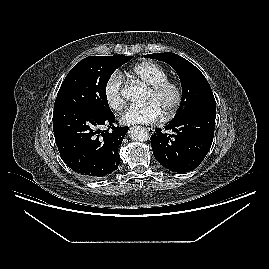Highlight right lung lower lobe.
<instances>
[{
    "mask_svg": "<svg viewBox=\"0 0 269 269\" xmlns=\"http://www.w3.org/2000/svg\"><path fill=\"white\" fill-rule=\"evenodd\" d=\"M114 122L112 111L83 107L54 109V136L65 163L92 180L114 172L120 163L118 149L128 130V127L113 126ZM103 126L108 129L101 130Z\"/></svg>",
    "mask_w": 269,
    "mask_h": 269,
    "instance_id": "98d812e1",
    "label": "right lung lower lobe"
}]
</instances>
